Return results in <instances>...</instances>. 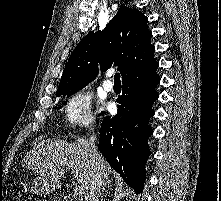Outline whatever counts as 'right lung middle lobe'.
<instances>
[{
  "mask_svg": "<svg viewBox=\"0 0 221 201\" xmlns=\"http://www.w3.org/2000/svg\"><path fill=\"white\" fill-rule=\"evenodd\" d=\"M76 91H79V90H74V91L67 92V93H62V94H56V96H57V97H60V96H66V95H68V97H69V96H71L72 94H74ZM65 104H66V102H65Z\"/></svg>",
  "mask_w": 221,
  "mask_h": 201,
  "instance_id": "1",
  "label": "right lung middle lobe"
}]
</instances>
